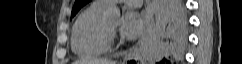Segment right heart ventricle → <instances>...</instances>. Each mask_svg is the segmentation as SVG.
Returning a JSON list of instances; mask_svg holds the SVG:
<instances>
[{"label":"right heart ventricle","instance_id":"1","mask_svg":"<svg viewBox=\"0 0 242 64\" xmlns=\"http://www.w3.org/2000/svg\"><path fill=\"white\" fill-rule=\"evenodd\" d=\"M106 7L92 3L75 20L71 30V49L81 58H95L108 48L109 41L103 35L106 24Z\"/></svg>","mask_w":242,"mask_h":64}]
</instances>
